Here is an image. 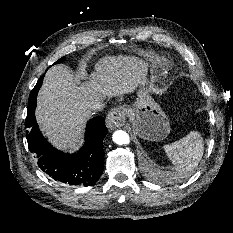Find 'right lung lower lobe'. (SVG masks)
I'll list each match as a JSON object with an SVG mask.
<instances>
[{"instance_id":"obj_1","label":"right lung lower lobe","mask_w":233,"mask_h":233,"mask_svg":"<svg viewBox=\"0 0 233 233\" xmlns=\"http://www.w3.org/2000/svg\"><path fill=\"white\" fill-rule=\"evenodd\" d=\"M42 75L28 100L25 121L29 150L38 158V165L52 179L69 185L89 186L95 183L103 171V139L108 130L104 118L97 116L88 121L85 142L82 148L73 154L58 151L42 136L35 119L36 98L42 85Z\"/></svg>"}]
</instances>
